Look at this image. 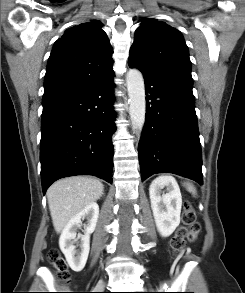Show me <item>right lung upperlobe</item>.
I'll return each instance as SVG.
<instances>
[{
  "mask_svg": "<svg viewBox=\"0 0 245 293\" xmlns=\"http://www.w3.org/2000/svg\"><path fill=\"white\" fill-rule=\"evenodd\" d=\"M101 27L97 20L82 23L66 30L55 42L46 69L43 108L114 75L113 50Z\"/></svg>",
  "mask_w": 245,
  "mask_h": 293,
  "instance_id": "cb5924a9",
  "label": "right lung upper lobe"
}]
</instances>
